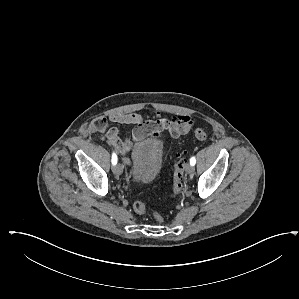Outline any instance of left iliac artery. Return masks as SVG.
<instances>
[{"instance_id": "left-iliac-artery-1", "label": "left iliac artery", "mask_w": 299, "mask_h": 299, "mask_svg": "<svg viewBox=\"0 0 299 299\" xmlns=\"http://www.w3.org/2000/svg\"><path fill=\"white\" fill-rule=\"evenodd\" d=\"M195 163H196V159H195V157L193 156V157H191V159H190V164H191L192 166H194Z\"/></svg>"}]
</instances>
